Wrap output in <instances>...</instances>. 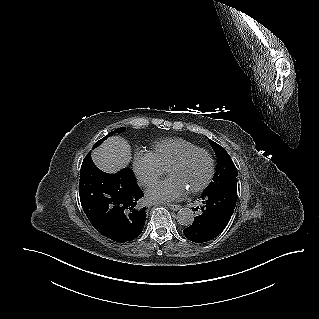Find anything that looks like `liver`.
<instances>
[{
	"mask_svg": "<svg viewBox=\"0 0 319 319\" xmlns=\"http://www.w3.org/2000/svg\"><path fill=\"white\" fill-rule=\"evenodd\" d=\"M132 158L129 143L118 136L108 138L92 153L95 165L107 173H116L126 167Z\"/></svg>",
	"mask_w": 319,
	"mask_h": 319,
	"instance_id": "obj_1",
	"label": "liver"
}]
</instances>
